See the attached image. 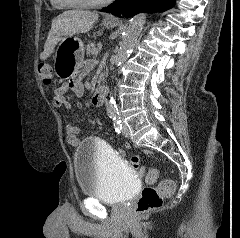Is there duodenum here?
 Here are the masks:
<instances>
[{
  "mask_svg": "<svg viewBox=\"0 0 240 238\" xmlns=\"http://www.w3.org/2000/svg\"><path fill=\"white\" fill-rule=\"evenodd\" d=\"M108 93V87L106 84H101L94 92L92 102L96 106H100L104 103Z\"/></svg>",
  "mask_w": 240,
  "mask_h": 238,
  "instance_id": "obj_1",
  "label": "duodenum"
}]
</instances>
